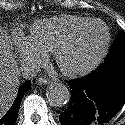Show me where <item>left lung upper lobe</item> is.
I'll use <instances>...</instances> for the list:
<instances>
[{"instance_id":"1","label":"left lung upper lobe","mask_w":125,"mask_h":125,"mask_svg":"<svg viewBox=\"0 0 125 125\" xmlns=\"http://www.w3.org/2000/svg\"><path fill=\"white\" fill-rule=\"evenodd\" d=\"M124 58L125 59V32H121L113 44L106 61L112 59Z\"/></svg>"}]
</instances>
